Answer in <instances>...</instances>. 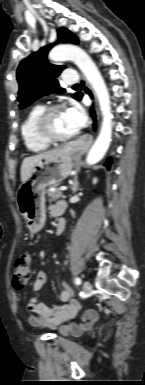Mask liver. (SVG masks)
I'll return each mask as SVG.
<instances>
[{"label":"liver","mask_w":145,"mask_h":385,"mask_svg":"<svg viewBox=\"0 0 145 385\" xmlns=\"http://www.w3.org/2000/svg\"><path fill=\"white\" fill-rule=\"evenodd\" d=\"M48 152H44V153H41V154L30 156V157H27V158H25L23 160L22 165H21V181L22 182H25L28 179V177H29V175H30L34 165L40 159H42L45 155H47Z\"/></svg>","instance_id":"6515ba94"}]
</instances>
